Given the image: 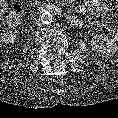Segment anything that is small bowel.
Returning <instances> with one entry per match:
<instances>
[{"label":"small bowel","instance_id":"small-bowel-1","mask_svg":"<svg viewBox=\"0 0 118 118\" xmlns=\"http://www.w3.org/2000/svg\"><path fill=\"white\" fill-rule=\"evenodd\" d=\"M86 6L99 14H107L110 12V6L106 3V0H88ZM114 37L116 41H118V30L114 33Z\"/></svg>","mask_w":118,"mask_h":118}]
</instances>
